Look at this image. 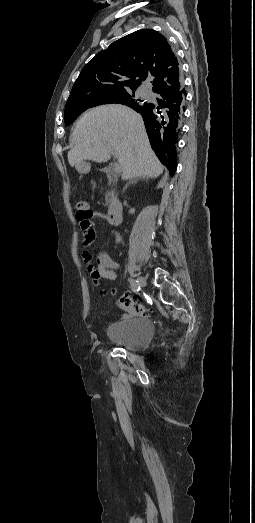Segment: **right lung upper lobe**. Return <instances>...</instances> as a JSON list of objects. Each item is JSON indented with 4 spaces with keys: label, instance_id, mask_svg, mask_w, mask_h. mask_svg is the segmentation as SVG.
I'll list each match as a JSON object with an SVG mask.
<instances>
[{
    "label": "right lung upper lobe",
    "instance_id": "1",
    "mask_svg": "<svg viewBox=\"0 0 255 523\" xmlns=\"http://www.w3.org/2000/svg\"><path fill=\"white\" fill-rule=\"evenodd\" d=\"M147 82L159 94L157 103L131 100L125 105L142 115L153 150L174 174L186 91L177 57L157 31L138 30L99 52L82 69L66 105L135 93Z\"/></svg>",
    "mask_w": 255,
    "mask_h": 523
}]
</instances>
